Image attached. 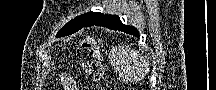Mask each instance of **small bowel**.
Wrapping results in <instances>:
<instances>
[{"mask_svg":"<svg viewBox=\"0 0 216 90\" xmlns=\"http://www.w3.org/2000/svg\"><path fill=\"white\" fill-rule=\"evenodd\" d=\"M62 83L65 90H76L74 79L69 75H63Z\"/></svg>","mask_w":216,"mask_h":90,"instance_id":"obj_1","label":"small bowel"}]
</instances>
